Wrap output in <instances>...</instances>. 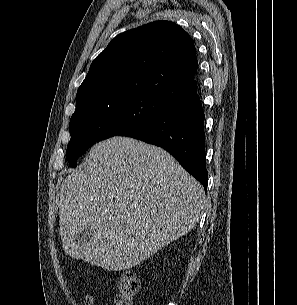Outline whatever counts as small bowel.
I'll return each mask as SVG.
<instances>
[{
  "label": "small bowel",
  "instance_id": "obj_1",
  "mask_svg": "<svg viewBox=\"0 0 297 305\" xmlns=\"http://www.w3.org/2000/svg\"><path fill=\"white\" fill-rule=\"evenodd\" d=\"M86 305H94V299L92 297L86 298Z\"/></svg>",
  "mask_w": 297,
  "mask_h": 305
}]
</instances>
